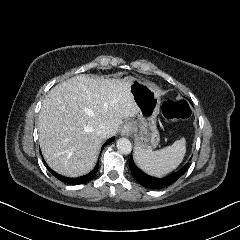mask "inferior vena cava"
Segmentation results:
<instances>
[{
    "label": "inferior vena cava",
    "mask_w": 240,
    "mask_h": 240,
    "mask_svg": "<svg viewBox=\"0 0 240 240\" xmlns=\"http://www.w3.org/2000/svg\"><path fill=\"white\" fill-rule=\"evenodd\" d=\"M111 131H113V129H111L110 126H107L106 124L102 123L99 124L97 134L101 138L105 139L110 134Z\"/></svg>",
    "instance_id": "obj_1"
}]
</instances>
